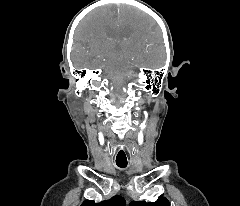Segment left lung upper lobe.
<instances>
[{"label": "left lung upper lobe", "mask_w": 240, "mask_h": 206, "mask_svg": "<svg viewBox=\"0 0 240 206\" xmlns=\"http://www.w3.org/2000/svg\"><path fill=\"white\" fill-rule=\"evenodd\" d=\"M130 206H170V203L165 197L160 196L155 202L133 201Z\"/></svg>", "instance_id": "obj_1"}]
</instances>
